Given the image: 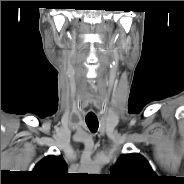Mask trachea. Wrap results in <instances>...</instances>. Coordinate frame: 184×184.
<instances>
[{
  "instance_id": "1",
  "label": "trachea",
  "mask_w": 184,
  "mask_h": 184,
  "mask_svg": "<svg viewBox=\"0 0 184 184\" xmlns=\"http://www.w3.org/2000/svg\"><path fill=\"white\" fill-rule=\"evenodd\" d=\"M86 124L91 132L95 133L98 129V119L97 118H85Z\"/></svg>"
}]
</instances>
